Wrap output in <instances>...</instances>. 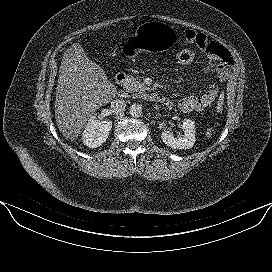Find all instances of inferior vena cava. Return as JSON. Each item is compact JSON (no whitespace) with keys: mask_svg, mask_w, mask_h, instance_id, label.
<instances>
[{"mask_svg":"<svg viewBox=\"0 0 272 272\" xmlns=\"http://www.w3.org/2000/svg\"><path fill=\"white\" fill-rule=\"evenodd\" d=\"M125 108H126V103L122 99H116L111 102V111L114 114L122 113L123 111H125Z\"/></svg>","mask_w":272,"mask_h":272,"instance_id":"1","label":"inferior vena cava"}]
</instances>
